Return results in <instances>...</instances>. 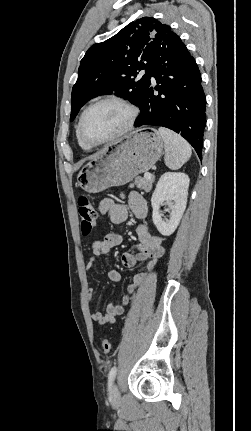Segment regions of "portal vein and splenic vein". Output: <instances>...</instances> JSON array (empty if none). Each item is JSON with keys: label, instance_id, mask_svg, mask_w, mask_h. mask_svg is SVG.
<instances>
[{"label": "portal vein and splenic vein", "instance_id": "18ae733b", "mask_svg": "<svg viewBox=\"0 0 251 431\" xmlns=\"http://www.w3.org/2000/svg\"><path fill=\"white\" fill-rule=\"evenodd\" d=\"M144 177L146 179H151L152 175L150 173H145Z\"/></svg>", "mask_w": 251, "mask_h": 431}]
</instances>
